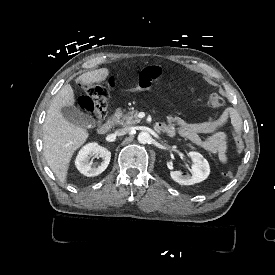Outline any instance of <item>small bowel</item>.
Returning a JSON list of instances; mask_svg holds the SVG:
<instances>
[{
  "label": "small bowel",
  "instance_id": "obj_1",
  "mask_svg": "<svg viewBox=\"0 0 275 275\" xmlns=\"http://www.w3.org/2000/svg\"><path fill=\"white\" fill-rule=\"evenodd\" d=\"M163 74L161 67L155 65H149L144 71L140 73L138 77V87L130 86L128 91L130 93H141L142 91L149 90L151 88V80L159 79ZM164 78L166 80L184 81L192 78V71L190 69H166L164 71ZM125 93L123 88L112 89L110 94L112 96H120ZM230 122L234 131L241 130L242 119L239 112L233 108L228 107L224 109L215 119L204 122L190 123L179 116H171L169 123V136L179 133L184 138L188 139L194 145L202 148L208 153L215 155L218 161L225 164L228 160L227 157V141L226 135L220 130V128ZM200 133H212L207 139H201Z\"/></svg>",
  "mask_w": 275,
  "mask_h": 275
}]
</instances>
